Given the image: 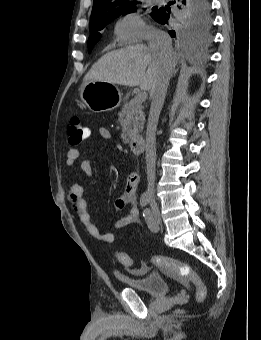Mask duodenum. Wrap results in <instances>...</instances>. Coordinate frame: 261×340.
I'll return each mask as SVG.
<instances>
[{"label": "duodenum", "instance_id": "410a0bca", "mask_svg": "<svg viewBox=\"0 0 261 340\" xmlns=\"http://www.w3.org/2000/svg\"><path fill=\"white\" fill-rule=\"evenodd\" d=\"M144 138L142 136H134L129 141V147L134 155H141L144 151Z\"/></svg>", "mask_w": 261, "mask_h": 340}]
</instances>
